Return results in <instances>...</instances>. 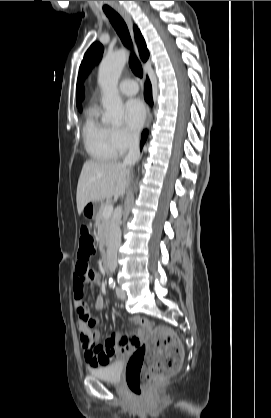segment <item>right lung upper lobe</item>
Listing matches in <instances>:
<instances>
[{"instance_id":"right-lung-upper-lobe-1","label":"right lung upper lobe","mask_w":271,"mask_h":418,"mask_svg":"<svg viewBox=\"0 0 271 418\" xmlns=\"http://www.w3.org/2000/svg\"><path fill=\"white\" fill-rule=\"evenodd\" d=\"M134 31L136 32L135 34V38L136 41L138 43V47H139V52H140V56L142 58L143 61H146L149 57V51L147 50L145 41L140 33V31L137 29L136 26H134ZM83 88L80 84V81L78 80L77 82V92H76V101H77V106L79 107V109L81 110V101L83 100Z\"/></svg>"}]
</instances>
